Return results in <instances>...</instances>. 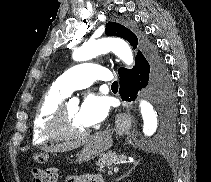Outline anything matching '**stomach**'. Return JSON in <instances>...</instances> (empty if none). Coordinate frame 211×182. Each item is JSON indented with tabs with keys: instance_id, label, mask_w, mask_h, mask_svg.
<instances>
[{
	"instance_id": "obj_1",
	"label": "stomach",
	"mask_w": 211,
	"mask_h": 182,
	"mask_svg": "<svg viewBox=\"0 0 211 182\" xmlns=\"http://www.w3.org/2000/svg\"><path fill=\"white\" fill-rule=\"evenodd\" d=\"M112 146L109 132H102L92 136L76 157V162L83 163L94 159Z\"/></svg>"
}]
</instances>
